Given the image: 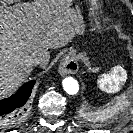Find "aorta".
Masks as SVG:
<instances>
[{"instance_id": "762f6f07", "label": "aorta", "mask_w": 133, "mask_h": 133, "mask_svg": "<svg viewBox=\"0 0 133 133\" xmlns=\"http://www.w3.org/2000/svg\"><path fill=\"white\" fill-rule=\"evenodd\" d=\"M63 89L69 95H77L80 91L79 83L72 77L64 79Z\"/></svg>"}]
</instances>
